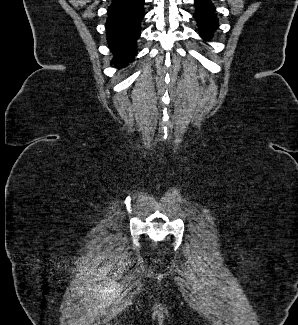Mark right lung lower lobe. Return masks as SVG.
<instances>
[{
  "mask_svg": "<svg viewBox=\"0 0 298 325\" xmlns=\"http://www.w3.org/2000/svg\"><path fill=\"white\" fill-rule=\"evenodd\" d=\"M145 0H113L108 7L107 40L115 54L112 63L125 67L136 55Z\"/></svg>",
  "mask_w": 298,
  "mask_h": 325,
  "instance_id": "1",
  "label": "right lung lower lobe"
}]
</instances>
